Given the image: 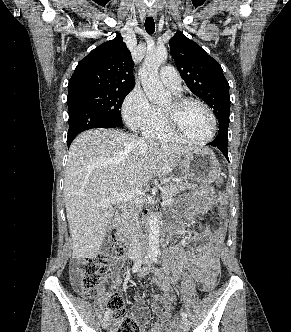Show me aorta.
<instances>
[{"label": "aorta", "mask_w": 291, "mask_h": 332, "mask_svg": "<svg viewBox=\"0 0 291 332\" xmlns=\"http://www.w3.org/2000/svg\"><path fill=\"white\" fill-rule=\"evenodd\" d=\"M168 52L165 47H157L146 54L142 67L139 69V78L143 89L152 104H163L170 100L171 93L166 91L159 80L158 70L166 61ZM160 228L155 213L149 214V246L148 253L157 255L159 251Z\"/></svg>", "instance_id": "obj_1"}]
</instances>
